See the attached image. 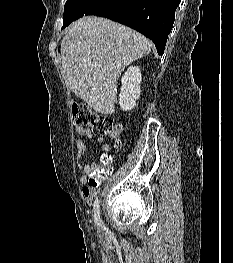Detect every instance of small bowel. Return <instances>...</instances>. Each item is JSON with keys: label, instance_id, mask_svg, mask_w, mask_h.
I'll return each mask as SVG.
<instances>
[{"label": "small bowel", "instance_id": "obj_1", "mask_svg": "<svg viewBox=\"0 0 233 263\" xmlns=\"http://www.w3.org/2000/svg\"><path fill=\"white\" fill-rule=\"evenodd\" d=\"M77 132L81 138L76 141V162L78 168L83 172V176L80 179L81 184L83 185V194L87 200H91L96 193V189L89 188L88 177L94 169V163L83 162V157L87 151L86 141H95L98 144V148L103 152H109L110 146L105 143L103 136H95L91 129L78 127Z\"/></svg>", "mask_w": 233, "mask_h": 263}]
</instances>
